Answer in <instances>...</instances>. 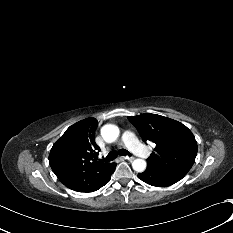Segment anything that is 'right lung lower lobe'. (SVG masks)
<instances>
[{"label": "right lung lower lobe", "instance_id": "98d812e1", "mask_svg": "<svg viewBox=\"0 0 233 233\" xmlns=\"http://www.w3.org/2000/svg\"><path fill=\"white\" fill-rule=\"evenodd\" d=\"M116 165L117 164L115 163V166L113 167V170L111 171V173L108 175V177L105 179V181L102 184H100L94 191L98 190L99 188H101L102 186L106 185L109 182L111 174L114 172Z\"/></svg>", "mask_w": 233, "mask_h": 233}]
</instances>
